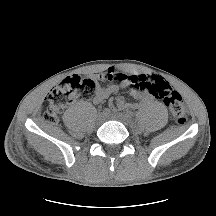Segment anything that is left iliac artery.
Masks as SVG:
<instances>
[{"label":"left iliac artery","instance_id":"left-iliac-artery-1","mask_svg":"<svg viewBox=\"0 0 216 216\" xmlns=\"http://www.w3.org/2000/svg\"><path fill=\"white\" fill-rule=\"evenodd\" d=\"M126 115H128L130 118H132L134 114H133V112H131V111H127V112H126Z\"/></svg>","mask_w":216,"mask_h":216}]
</instances>
